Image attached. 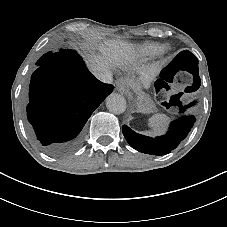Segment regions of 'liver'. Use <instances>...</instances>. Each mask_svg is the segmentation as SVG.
I'll list each match as a JSON object with an SVG mask.
<instances>
[{
  "instance_id": "liver-1",
  "label": "liver",
  "mask_w": 227,
  "mask_h": 227,
  "mask_svg": "<svg viewBox=\"0 0 227 227\" xmlns=\"http://www.w3.org/2000/svg\"><path fill=\"white\" fill-rule=\"evenodd\" d=\"M131 46L128 43L115 42L111 43L107 50L108 56L117 57L118 55H125V52L130 51ZM93 72H103L106 70L104 63L99 62L98 64H92ZM137 85V83H135ZM139 90H142V87L138 86Z\"/></svg>"
}]
</instances>
